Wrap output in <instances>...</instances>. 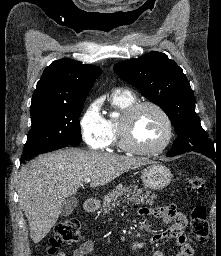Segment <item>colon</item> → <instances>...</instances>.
Returning <instances> with one entry per match:
<instances>
[{"mask_svg": "<svg viewBox=\"0 0 221 256\" xmlns=\"http://www.w3.org/2000/svg\"><path fill=\"white\" fill-rule=\"evenodd\" d=\"M185 188L189 192L201 193L205 188V180L199 175L189 177L185 182ZM191 231L195 239L205 244L209 238V224L206 208L197 204L191 211ZM80 238V222L76 218H69L61 222L54 230L49 241V254H54L62 244H72Z\"/></svg>", "mask_w": 221, "mask_h": 256, "instance_id": "1", "label": "colon"}]
</instances>
